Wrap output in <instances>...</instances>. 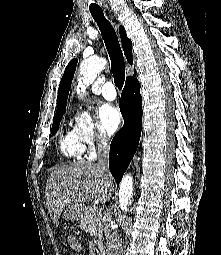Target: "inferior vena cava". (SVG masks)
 <instances>
[{
	"instance_id": "602c4592",
	"label": "inferior vena cava",
	"mask_w": 221,
	"mask_h": 255,
	"mask_svg": "<svg viewBox=\"0 0 221 255\" xmlns=\"http://www.w3.org/2000/svg\"><path fill=\"white\" fill-rule=\"evenodd\" d=\"M98 167L104 172H109V146L105 138L101 139L98 146ZM107 255H123L122 242L117 230L112 229V220L107 214L105 225Z\"/></svg>"
}]
</instances>
